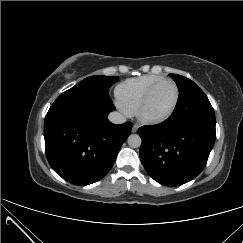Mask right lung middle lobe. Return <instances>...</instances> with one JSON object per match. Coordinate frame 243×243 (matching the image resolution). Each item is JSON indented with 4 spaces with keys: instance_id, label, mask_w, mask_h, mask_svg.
Listing matches in <instances>:
<instances>
[{
    "instance_id": "1",
    "label": "right lung middle lobe",
    "mask_w": 243,
    "mask_h": 243,
    "mask_svg": "<svg viewBox=\"0 0 243 243\" xmlns=\"http://www.w3.org/2000/svg\"><path fill=\"white\" fill-rule=\"evenodd\" d=\"M118 80L117 76H91L82 80L78 85L89 86L108 93L109 87Z\"/></svg>"
}]
</instances>
